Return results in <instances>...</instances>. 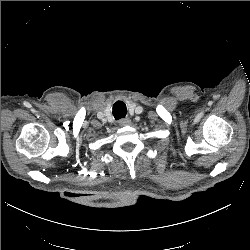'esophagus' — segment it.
Segmentation results:
<instances>
[{"label":"esophagus","mask_w":250,"mask_h":250,"mask_svg":"<svg viewBox=\"0 0 250 250\" xmlns=\"http://www.w3.org/2000/svg\"><path fill=\"white\" fill-rule=\"evenodd\" d=\"M131 123V120L129 118H124L119 121L120 126H126Z\"/></svg>","instance_id":"esophagus-1"}]
</instances>
